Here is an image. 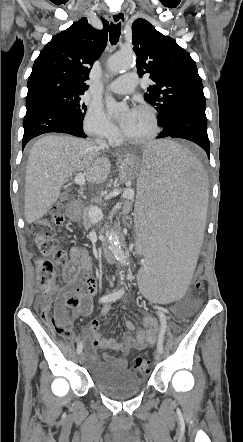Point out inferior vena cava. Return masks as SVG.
<instances>
[{
    "label": "inferior vena cava",
    "mask_w": 243,
    "mask_h": 442,
    "mask_svg": "<svg viewBox=\"0 0 243 442\" xmlns=\"http://www.w3.org/2000/svg\"><path fill=\"white\" fill-rule=\"evenodd\" d=\"M95 141H96L97 144L99 145V148H100V149H107V148H108V145H107V143H106L105 140H103V139H101V138H97V139H95Z\"/></svg>",
    "instance_id": "inferior-vena-cava-1"
}]
</instances>
